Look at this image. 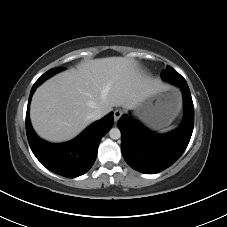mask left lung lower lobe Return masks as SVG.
<instances>
[{
  "instance_id": "left-lung-lower-lobe-1",
  "label": "left lung lower lobe",
  "mask_w": 227,
  "mask_h": 227,
  "mask_svg": "<svg viewBox=\"0 0 227 227\" xmlns=\"http://www.w3.org/2000/svg\"><path fill=\"white\" fill-rule=\"evenodd\" d=\"M181 88L184 100V119L176 130L155 134L128 115L118 121L121 131V150L126 163L136 171L155 174L171 166L185 151L194 126V106L186 82H172Z\"/></svg>"
}]
</instances>
